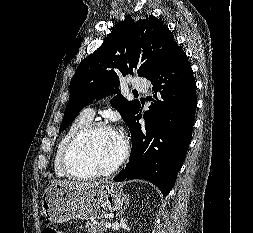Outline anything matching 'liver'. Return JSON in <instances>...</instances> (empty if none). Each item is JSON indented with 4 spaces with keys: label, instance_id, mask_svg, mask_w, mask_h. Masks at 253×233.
I'll use <instances>...</instances> for the list:
<instances>
[{
    "label": "liver",
    "instance_id": "6515ba94",
    "mask_svg": "<svg viewBox=\"0 0 253 233\" xmlns=\"http://www.w3.org/2000/svg\"><path fill=\"white\" fill-rule=\"evenodd\" d=\"M52 184H61L65 186H69L71 188L75 189H82L86 187H91V186H98V182H86V183H80V182H71V181H66V180H52Z\"/></svg>",
    "mask_w": 253,
    "mask_h": 233
}]
</instances>
